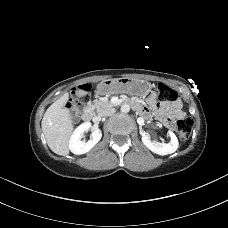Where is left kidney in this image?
Instances as JSON below:
<instances>
[{"instance_id":"obj_1","label":"left kidney","mask_w":228,"mask_h":228,"mask_svg":"<svg viewBox=\"0 0 228 228\" xmlns=\"http://www.w3.org/2000/svg\"><path fill=\"white\" fill-rule=\"evenodd\" d=\"M168 134L170 136L169 143H160L151 140L150 136L147 134L142 136V142L148 149L158 155L172 154L178 149L179 143L176 135L171 130L168 131Z\"/></svg>"}]
</instances>
